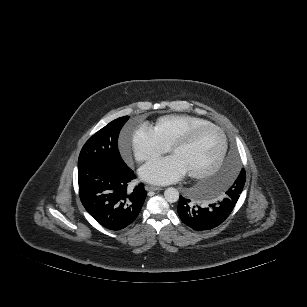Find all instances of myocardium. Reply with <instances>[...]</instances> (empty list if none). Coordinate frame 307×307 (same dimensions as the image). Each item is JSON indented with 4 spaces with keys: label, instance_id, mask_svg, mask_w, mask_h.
<instances>
[{
    "label": "myocardium",
    "instance_id": "1",
    "mask_svg": "<svg viewBox=\"0 0 307 307\" xmlns=\"http://www.w3.org/2000/svg\"><path fill=\"white\" fill-rule=\"evenodd\" d=\"M207 128L215 129L220 134L221 139H222L221 151L213 167L205 171L188 173V176L191 178L202 179V178L209 177L213 175L215 172H217L219 168L221 167V165L223 164L225 157L227 155L228 146H229L227 136L225 132L223 131V129L217 124H214L211 122L205 123L202 125H197V126L191 127L186 133H184L183 135L175 139L169 146V152L173 153L175 149L186 146L189 143H191L199 132Z\"/></svg>",
    "mask_w": 307,
    "mask_h": 307
}]
</instances>
